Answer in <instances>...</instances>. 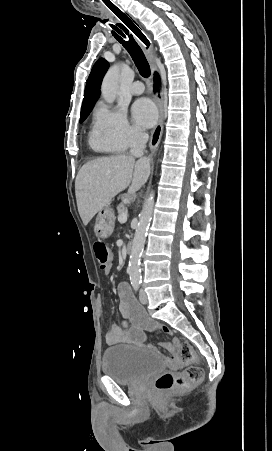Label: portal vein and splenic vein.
Segmentation results:
<instances>
[{
	"label": "portal vein and splenic vein",
	"mask_w": 272,
	"mask_h": 451,
	"mask_svg": "<svg viewBox=\"0 0 272 451\" xmlns=\"http://www.w3.org/2000/svg\"><path fill=\"white\" fill-rule=\"evenodd\" d=\"M118 222H121V224H124V222H127V212H122V214H119Z\"/></svg>",
	"instance_id": "obj_1"
}]
</instances>
